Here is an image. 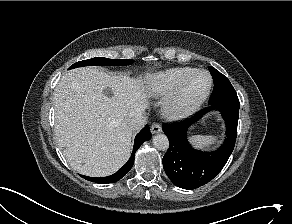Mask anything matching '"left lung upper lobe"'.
I'll return each mask as SVG.
<instances>
[{
  "mask_svg": "<svg viewBox=\"0 0 292 224\" xmlns=\"http://www.w3.org/2000/svg\"><path fill=\"white\" fill-rule=\"evenodd\" d=\"M209 71L213 76L214 89L211 94L209 104L223 98L237 96L233 86L226 76L216 70L214 67H209Z\"/></svg>",
  "mask_w": 292,
  "mask_h": 224,
  "instance_id": "left-lung-upper-lobe-1",
  "label": "left lung upper lobe"
}]
</instances>
